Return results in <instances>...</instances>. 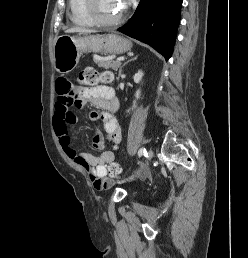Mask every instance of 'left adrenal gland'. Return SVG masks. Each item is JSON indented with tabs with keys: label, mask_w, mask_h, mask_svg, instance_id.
<instances>
[{
	"label": "left adrenal gland",
	"mask_w": 248,
	"mask_h": 258,
	"mask_svg": "<svg viewBox=\"0 0 248 258\" xmlns=\"http://www.w3.org/2000/svg\"><path fill=\"white\" fill-rule=\"evenodd\" d=\"M136 59H137V56H135V57H133L132 59H130V60H128L127 62H125V63L120 67V69H119V76H121V74H122V68H123L126 64H128L129 62L134 61V60H136Z\"/></svg>",
	"instance_id": "a2214340"
}]
</instances>
